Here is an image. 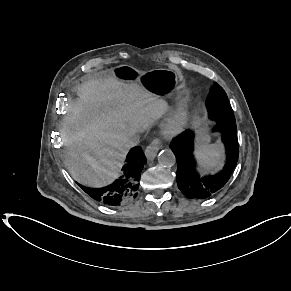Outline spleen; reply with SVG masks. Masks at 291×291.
Returning a JSON list of instances; mask_svg holds the SVG:
<instances>
[{
	"mask_svg": "<svg viewBox=\"0 0 291 291\" xmlns=\"http://www.w3.org/2000/svg\"><path fill=\"white\" fill-rule=\"evenodd\" d=\"M198 162L205 169H214L221 165L222 149L218 144L202 145L195 151Z\"/></svg>",
	"mask_w": 291,
	"mask_h": 291,
	"instance_id": "3e777b00",
	"label": "spleen"
}]
</instances>
